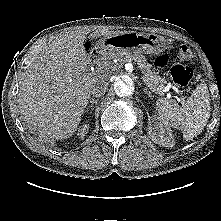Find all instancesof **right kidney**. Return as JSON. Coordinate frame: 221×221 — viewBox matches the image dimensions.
Here are the masks:
<instances>
[{"instance_id":"1","label":"right kidney","mask_w":221,"mask_h":221,"mask_svg":"<svg viewBox=\"0 0 221 221\" xmlns=\"http://www.w3.org/2000/svg\"><path fill=\"white\" fill-rule=\"evenodd\" d=\"M88 129H89V125L88 124H84L82 126V128L78 129V135L80 136V138H82V139L84 138V136L87 133Z\"/></svg>"}]
</instances>
